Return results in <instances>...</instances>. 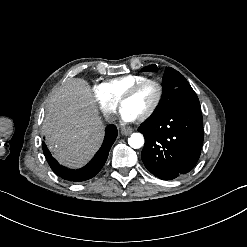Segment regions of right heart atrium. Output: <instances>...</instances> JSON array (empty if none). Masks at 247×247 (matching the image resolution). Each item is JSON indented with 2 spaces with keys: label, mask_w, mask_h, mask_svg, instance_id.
Here are the masks:
<instances>
[{
  "label": "right heart atrium",
  "mask_w": 247,
  "mask_h": 247,
  "mask_svg": "<svg viewBox=\"0 0 247 247\" xmlns=\"http://www.w3.org/2000/svg\"><path fill=\"white\" fill-rule=\"evenodd\" d=\"M94 96L96 97V103L99 105L100 111L104 115L112 113L117 108L119 101H114L107 94V89L104 86H97L94 89Z\"/></svg>",
  "instance_id": "right-heart-atrium-1"
}]
</instances>
